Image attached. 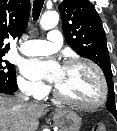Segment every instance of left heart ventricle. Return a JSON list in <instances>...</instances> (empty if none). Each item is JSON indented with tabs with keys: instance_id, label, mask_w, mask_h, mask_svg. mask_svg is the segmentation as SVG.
<instances>
[{
	"instance_id": "obj_1",
	"label": "left heart ventricle",
	"mask_w": 117,
	"mask_h": 131,
	"mask_svg": "<svg viewBox=\"0 0 117 131\" xmlns=\"http://www.w3.org/2000/svg\"><path fill=\"white\" fill-rule=\"evenodd\" d=\"M56 87L67 98L84 104L95 103L101 93L95 72L85 65L62 67Z\"/></svg>"
}]
</instances>
